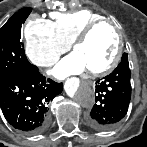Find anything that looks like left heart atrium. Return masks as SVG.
Masks as SVG:
<instances>
[{"label": "left heart atrium", "instance_id": "left-heart-atrium-1", "mask_svg": "<svg viewBox=\"0 0 147 147\" xmlns=\"http://www.w3.org/2000/svg\"><path fill=\"white\" fill-rule=\"evenodd\" d=\"M86 70L85 65L77 53H71L59 61L51 70V74L58 79L76 75Z\"/></svg>", "mask_w": 147, "mask_h": 147}]
</instances>
